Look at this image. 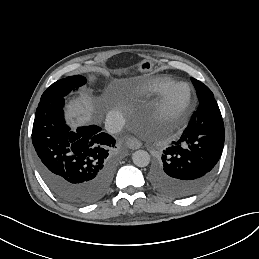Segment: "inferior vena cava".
Returning <instances> with one entry per match:
<instances>
[{
	"instance_id": "obj_1",
	"label": "inferior vena cava",
	"mask_w": 259,
	"mask_h": 259,
	"mask_svg": "<svg viewBox=\"0 0 259 259\" xmlns=\"http://www.w3.org/2000/svg\"><path fill=\"white\" fill-rule=\"evenodd\" d=\"M125 125V119L118 112H110L106 117L105 129L108 133L115 134L122 130Z\"/></svg>"
}]
</instances>
